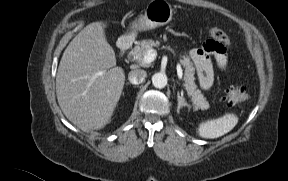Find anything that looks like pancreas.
<instances>
[{
	"label": "pancreas",
	"mask_w": 288,
	"mask_h": 181,
	"mask_svg": "<svg viewBox=\"0 0 288 181\" xmlns=\"http://www.w3.org/2000/svg\"><path fill=\"white\" fill-rule=\"evenodd\" d=\"M160 42L154 41L152 39L149 40H142L139 41L138 45L134 47L133 54L137 61L144 64L142 62L143 57L145 54L153 49V47H159ZM180 62L185 68V74H184V81H185V89L187 91L188 96L190 97L192 104L195 109H208L209 103L202 94V92L197 88V85L195 84V68L193 63L190 61V58L188 55H181Z\"/></svg>",
	"instance_id": "pancreas-1"
}]
</instances>
